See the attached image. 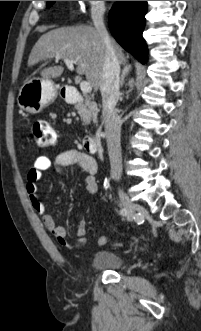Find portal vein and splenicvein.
I'll return each mask as SVG.
<instances>
[{
    "label": "portal vein and splenic vein",
    "instance_id": "portal-vein-and-splenic-vein-1",
    "mask_svg": "<svg viewBox=\"0 0 201 331\" xmlns=\"http://www.w3.org/2000/svg\"><path fill=\"white\" fill-rule=\"evenodd\" d=\"M56 60L60 59L61 56L59 54H57L55 56ZM65 64L67 65V67L70 69V70H74V66H73V63L74 61L73 60H70V59H67V58H64L63 59ZM80 89L83 93H90L92 91V86L89 82L87 81H82L80 83Z\"/></svg>",
    "mask_w": 201,
    "mask_h": 331
}]
</instances>
